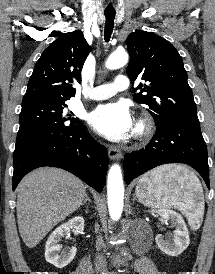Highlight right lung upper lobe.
I'll return each mask as SVG.
<instances>
[{"instance_id":"cb5924a9","label":"right lung upper lobe","mask_w":215,"mask_h":274,"mask_svg":"<svg viewBox=\"0 0 215 274\" xmlns=\"http://www.w3.org/2000/svg\"><path fill=\"white\" fill-rule=\"evenodd\" d=\"M90 52L80 30L66 33L42 53L30 77L22 105L37 101H67L75 96L72 83L81 82V70Z\"/></svg>"}]
</instances>
